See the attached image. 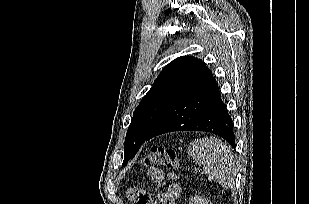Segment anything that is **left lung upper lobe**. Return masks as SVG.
<instances>
[{"mask_svg": "<svg viewBox=\"0 0 309 204\" xmlns=\"http://www.w3.org/2000/svg\"><path fill=\"white\" fill-rule=\"evenodd\" d=\"M212 78L202 60L191 56L178 57L165 66L133 113L122 165L135 156L150 130L173 104Z\"/></svg>", "mask_w": 309, "mask_h": 204, "instance_id": "1", "label": "left lung upper lobe"}]
</instances>
